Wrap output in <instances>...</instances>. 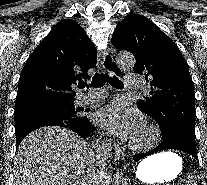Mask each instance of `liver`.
Returning a JSON list of instances; mask_svg holds the SVG:
<instances>
[{"label": "liver", "mask_w": 207, "mask_h": 185, "mask_svg": "<svg viewBox=\"0 0 207 185\" xmlns=\"http://www.w3.org/2000/svg\"><path fill=\"white\" fill-rule=\"evenodd\" d=\"M96 155L70 129H36L17 149L13 185H95Z\"/></svg>", "instance_id": "6515ba94"}]
</instances>
